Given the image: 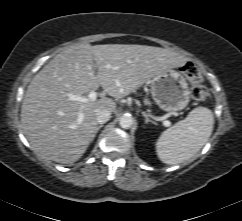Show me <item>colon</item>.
Wrapping results in <instances>:
<instances>
[{"instance_id": "1", "label": "colon", "mask_w": 242, "mask_h": 221, "mask_svg": "<svg viewBox=\"0 0 242 221\" xmlns=\"http://www.w3.org/2000/svg\"><path fill=\"white\" fill-rule=\"evenodd\" d=\"M182 71L192 84V97L199 102L207 100L209 97V91L201 83L202 77L198 68L192 63H186L182 67Z\"/></svg>"}]
</instances>
